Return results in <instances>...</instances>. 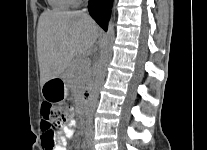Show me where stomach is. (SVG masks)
Listing matches in <instances>:
<instances>
[{"mask_svg": "<svg viewBox=\"0 0 207 150\" xmlns=\"http://www.w3.org/2000/svg\"><path fill=\"white\" fill-rule=\"evenodd\" d=\"M42 96L50 101H60L67 96L68 88L62 77L49 80L42 86Z\"/></svg>", "mask_w": 207, "mask_h": 150, "instance_id": "0dacf381", "label": "stomach"}]
</instances>
